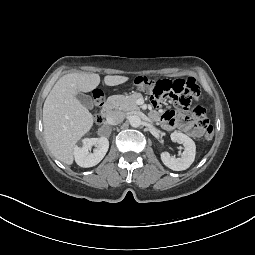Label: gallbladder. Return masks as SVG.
Returning <instances> with one entry per match:
<instances>
[{
    "label": "gallbladder",
    "mask_w": 255,
    "mask_h": 255,
    "mask_svg": "<svg viewBox=\"0 0 255 255\" xmlns=\"http://www.w3.org/2000/svg\"><path fill=\"white\" fill-rule=\"evenodd\" d=\"M76 98L87 109H93V107H94L93 99L89 95H86V94H84L82 92H79L76 95Z\"/></svg>",
    "instance_id": "bac80fb5"
}]
</instances>
